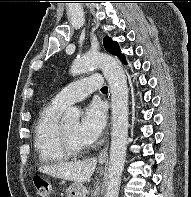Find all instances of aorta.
Wrapping results in <instances>:
<instances>
[{
    "label": "aorta",
    "instance_id": "obj_1",
    "mask_svg": "<svg viewBox=\"0 0 191 197\" xmlns=\"http://www.w3.org/2000/svg\"><path fill=\"white\" fill-rule=\"evenodd\" d=\"M101 68L111 92L112 131L108 183L105 197H118L121 176L126 159L128 138V85L121 64L112 56L102 53L86 54L74 61L70 72L80 75L91 68ZM80 111L68 108L62 117L66 124L79 122Z\"/></svg>",
    "mask_w": 191,
    "mask_h": 197
}]
</instances>
